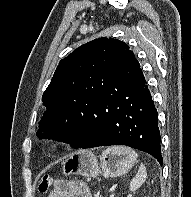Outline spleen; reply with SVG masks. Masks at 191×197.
Returning a JSON list of instances; mask_svg holds the SVG:
<instances>
[{
    "label": "spleen",
    "mask_w": 191,
    "mask_h": 197,
    "mask_svg": "<svg viewBox=\"0 0 191 197\" xmlns=\"http://www.w3.org/2000/svg\"><path fill=\"white\" fill-rule=\"evenodd\" d=\"M110 149L118 154L126 156L128 161L132 162L133 164L136 161L137 155L134 152V150H132L131 148L124 146H117V147H112ZM146 177H147L146 167L143 164H141L137 174L130 182V190L134 191L137 188H139L145 182Z\"/></svg>",
    "instance_id": "spleen-1"
}]
</instances>
